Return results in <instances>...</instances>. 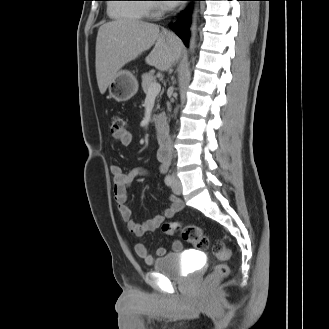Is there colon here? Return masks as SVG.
Wrapping results in <instances>:
<instances>
[{"label": "colon", "mask_w": 329, "mask_h": 329, "mask_svg": "<svg viewBox=\"0 0 329 329\" xmlns=\"http://www.w3.org/2000/svg\"><path fill=\"white\" fill-rule=\"evenodd\" d=\"M126 130V119L119 114L111 116V132L114 136L121 135ZM162 232L166 235H175L181 231L182 238L198 248L205 249L209 246V238L203 229L194 224L182 225L179 222L171 221L162 224ZM215 256L221 261L216 264L213 271L207 276V285L215 284L229 274V266L226 261L230 258V251L222 241H217L213 246Z\"/></svg>", "instance_id": "1"}]
</instances>
